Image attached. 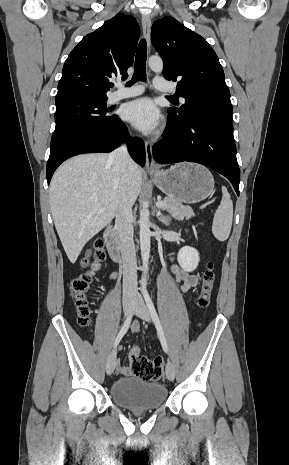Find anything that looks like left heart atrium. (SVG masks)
<instances>
[{
    "label": "left heart atrium",
    "mask_w": 289,
    "mask_h": 465,
    "mask_svg": "<svg viewBox=\"0 0 289 465\" xmlns=\"http://www.w3.org/2000/svg\"><path fill=\"white\" fill-rule=\"evenodd\" d=\"M123 117L146 133L156 130L159 124L158 108L150 98L129 102L123 110Z\"/></svg>",
    "instance_id": "obj_1"
}]
</instances>
